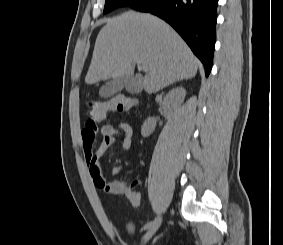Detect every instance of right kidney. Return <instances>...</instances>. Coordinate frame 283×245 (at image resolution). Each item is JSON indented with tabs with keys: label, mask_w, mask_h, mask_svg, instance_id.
I'll return each mask as SVG.
<instances>
[{
	"label": "right kidney",
	"mask_w": 283,
	"mask_h": 245,
	"mask_svg": "<svg viewBox=\"0 0 283 245\" xmlns=\"http://www.w3.org/2000/svg\"><path fill=\"white\" fill-rule=\"evenodd\" d=\"M186 91L182 87H177L168 92L164 98V108L166 113H170L175 110L184 101ZM156 127V121L154 118L149 117L141 128V134L143 137L149 136Z\"/></svg>",
	"instance_id": "1"
}]
</instances>
